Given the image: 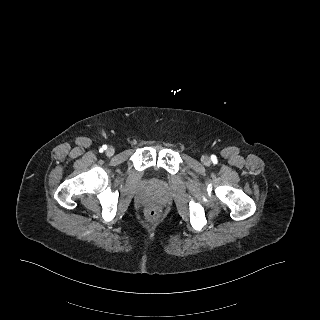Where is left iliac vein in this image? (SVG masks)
<instances>
[{
	"mask_svg": "<svg viewBox=\"0 0 320 320\" xmlns=\"http://www.w3.org/2000/svg\"><path fill=\"white\" fill-rule=\"evenodd\" d=\"M201 161L204 165H209L211 163L210 158L208 156H203Z\"/></svg>",
	"mask_w": 320,
	"mask_h": 320,
	"instance_id": "obj_1",
	"label": "left iliac vein"
}]
</instances>
